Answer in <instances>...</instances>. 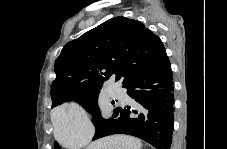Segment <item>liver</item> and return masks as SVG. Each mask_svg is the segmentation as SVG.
<instances>
[{"label": "liver", "mask_w": 227, "mask_h": 149, "mask_svg": "<svg viewBox=\"0 0 227 149\" xmlns=\"http://www.w3.org/2000/svg\"><path fill=\"white\" fill-rule=\"evenodd\" d=\"M139 139L127 135H113L91 143L87 149H141Z\"/></svg>", "instance_id": "liver-1"}]
</instances>
